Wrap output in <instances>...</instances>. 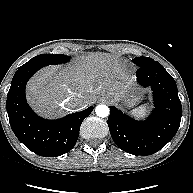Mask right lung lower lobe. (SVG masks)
Wrapping results in <instances>:
<instances>
[{
	"label": "right lung lower lobe",
	"mask_w": 193,
	"mask_h": 193,
	"mask_svg": "<svg viewBox=\"0 0 193 193\" xmlns=\"http://www.w3.org/2000/svg\"><path fill=\"white\" fill-rule=\"evenodd\" d=\"M42 67L27 64L19 67L7 95V112L13 132L28 149L40 156L55 157L74 147L80 126L93 107L58 120L36 115L26 102L25 88L30 77Z\"/></svg>",
	"instance_id": "1"
}]
</instances>
